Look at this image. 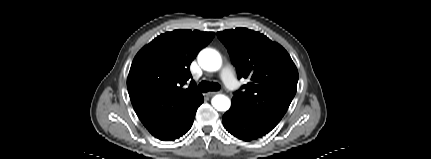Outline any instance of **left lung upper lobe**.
I'll return each mask as SVG.
<instances>
[{"mask_svg":"<svg viewBox=\"0 0 431 159\" xmlns=\"http://www.w3.org/2000/svg\"><path fill=\"white\" fill-rule=\"evenodd\" d=\"M226 46L238 78L248 79L232 102L247 112L279 122L296 93L298 71L287 51L246 28L217 33Z\"/></svg>","mask_w":431,"mask_h":159,"instance_id":"1","label":"left lung upper lobe"}]
</instances>
